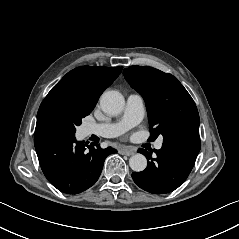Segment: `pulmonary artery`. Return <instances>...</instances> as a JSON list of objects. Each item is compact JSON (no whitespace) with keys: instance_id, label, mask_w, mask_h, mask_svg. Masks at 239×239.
I'll use <instances>...</instances> for the list:
<instances>
[{"instance_id":"pulmonary-artery-1","label":"pulmonary artery","mask_w":239,"mask_h":239,"mask_svg":"<svg viewBox=\"0 0 239 239\" xmlns=\"http://www.w3.org/2000/svg\"><path fill=\"white\" fill-rule=\"evenodd\" d=\"M144 117V100L139 93H129L121 121L117 123H88L85 125V135H97L104 138L116 137L126 130L136 126ZM162 138L156 142V149H161Z\"/></svg>"}]
</instances>
